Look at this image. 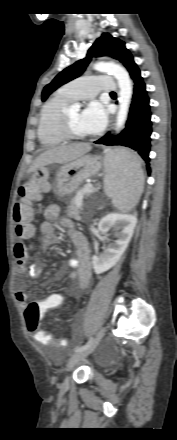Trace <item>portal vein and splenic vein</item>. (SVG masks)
<instances>
[{
	"label": "portal vein and splenic vein",
	"mask_w": 177,
	"mask_h": 440,
	"mask_svg": "<svg viewBox=\"0 0 177 440\" xmlns=\"http://www.w3.org/2000/svg\"><path fill=\"white\" fill-rule=\"evenodd\" d=\"M93 191L92 185H88L86 188V192L91 193Z\"/></svg>",
	"instance_id": "obj_1"
}]
</instances>
